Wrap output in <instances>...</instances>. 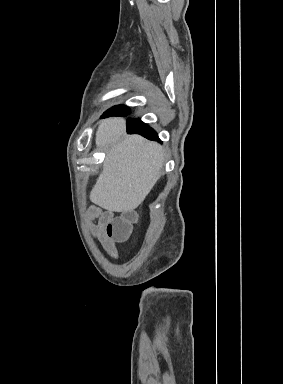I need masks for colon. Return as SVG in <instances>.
<instances>
[{"label":"colon","instance_id":"1","mask_svg":"<svg viewBox=\"0 0 283 384\" xmlns=\"http://www.w3.org/2000/svg\"><path fill=\"white\" fill-rule=\"evenodd\" d=\"M134 223L135 215L132 213H127L120 217H116L109 224L108 233L115 240L124 241L131 236Z\"/></svg>","mask_w":283,"mask_h":384}]
</instances>
